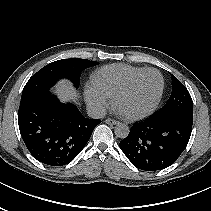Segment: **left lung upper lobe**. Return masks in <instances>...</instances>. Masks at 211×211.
<instances>
[{"mask_svg": "<svg viewBox=\"0 0 211 211\" xmlns=\"http://www.w3.org/2000/svg\"><path fill=\"white\" fill-rule=\"evenodd\" d=\"M183 117L193 121V102L186 87L172 75V93L167 103L153 118Z\"/></svg>", "mask_w": 211, "mask_h": 211, "instance_id": "obj_1", "label": "left lung upper lobe"}]
</instances>
